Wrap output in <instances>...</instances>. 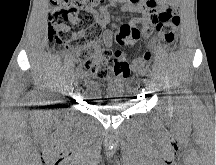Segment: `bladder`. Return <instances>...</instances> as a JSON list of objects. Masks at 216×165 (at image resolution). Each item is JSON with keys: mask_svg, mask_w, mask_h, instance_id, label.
<instances>
[{"mask_svg": "<svg viewBox=\"0 0 216 165\" xmlns=\"http://www.w3.org/2000/svg\"><path fill=\"white\" fill-rule=\"evenodd\" d=\"M93 86V89H92ZM128 81L121 76H104V81H96L85 75L84 95L95 101L97 111H120L133 104V100L124 96Z\"/></svg>", "mask_w": 216, "mask_h": 165, "instance_id": "bladder-1", "label": "bladder"}]
</instances>
